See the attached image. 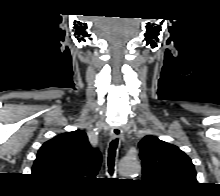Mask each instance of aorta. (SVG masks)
I'll return each instance as SVG.
<instances>
[{
	"mask_svg": "<svg viewBox=\"0 0 220 196\" xmlns=\"http://www.w3.org/2000/svg\"><path fill=\"white\" fill-rule=\"evenodd\" d=\"M118 170L122 176H132L140 171V164L137 160L122 159Z\"/></svg>",
	"mask_w": 220,
	"mask_h": 196,
	"instance_id": "aorta-1",
	"label": "aorta"
}]
</instances>
